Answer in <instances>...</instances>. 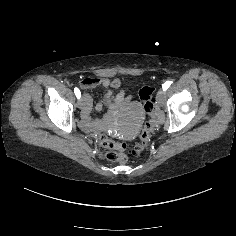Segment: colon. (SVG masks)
<instances>
[{"instance_id":"colon-1","label":"colon","mask_w":236,"mask_h":236,"mask_svg":"<svg viewBox=\"0 0 236 236\" xmlns=\"http://www.w3.org/2000/svg\"><path fill=\"white\" fill-rule=\"evenodd\" d=\"M100 79L85 78L80 81L81 86H87L99 82ZM154 88L150 85H146L139 91L140 99L143 102L144 109L149 115V120L144 125V128L141 132L140 141L131 147L129 150L133 154H139L147 146L151 133L157 124V115L155 112L154 104ZM101 145L105 149V157L113 162L125 163L127 160L126 155L123 153L128 149L126 143L115 142L105 136L101 137Z\"/></svg>"}]
</instances>
